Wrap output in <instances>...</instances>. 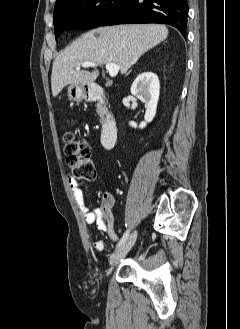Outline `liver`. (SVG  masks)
Listing matches in <instances>:
<instances>
[{"label":"liver","mask_w":240,"mask_h":329,"mask_svg":"<svg viewBox=\"0 0 240 329\" xmlns=\"http://www.w3.org/2000/svg\"><path fill=\"white\" fill-rule=\"evenodd\" d=\"M168 36L164 25H117L100 27L83 34L66 47L53 62L52 94L56 97L66 85H90L99 71L76 70L83 62L99 65L115 63L122 74L151 48Z\"/></svg>","instance_id":"liver-1"}]
</instances>
